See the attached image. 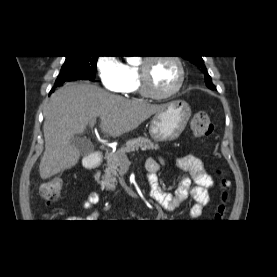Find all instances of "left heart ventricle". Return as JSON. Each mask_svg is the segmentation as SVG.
I'll list each match as a JSON object with an SVG mask.
<instances>
[{"label": "left heart ventricle", "instance_id": "1", "mask_svg": "<svg viewBox=\"0 0 277 277\" xmlns=\"http://www.w3.org/2000/svg\"><path fill=\"white\" fill-rule=\"evenodd\" d=\"M178 80L177 67L169 60L154 61L149 67V85L156 93L170 91Z\"/></svg>", "mask_w": 277, "mask_h": 277}]
</instances>
